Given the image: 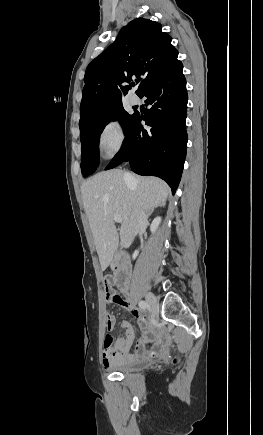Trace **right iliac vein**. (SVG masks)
Wrapping results in <instances>:
<instances>
[{
	"label": "right iliac vein",
	"mask_w": 263,
	"mask_h": 435,
	"mask_svg": "<svg viewBox=\"0 0 263 435\" xmlns=\"http://www.w3.org/2000/svg\"><path fill=\"white\" fill-rule=\"evenodd\" d=\"M145 299L150 311L155 313L157 311V301L155 296L152 293H147Z\"/></svg>",
	"instance_id": "1"
}]
</instances>
